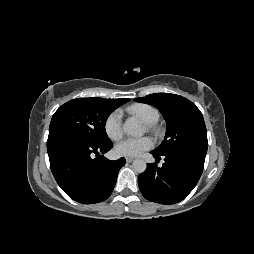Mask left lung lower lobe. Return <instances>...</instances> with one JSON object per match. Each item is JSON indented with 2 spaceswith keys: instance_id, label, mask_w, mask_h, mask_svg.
I'll return each instance as SVG.
<instances>
[{
  "instance_id": "left-lung-lower-lobe-1",
  "label": "left lung lower lobe",
  "mask_w": 254,
  "mask_h": 254,
  "mask_svg": "<svg viewBox=\"0 0 254 254\" xmlns=\"http://www.w3.org/2000/svg\"><path fill=\"white\" fill-rule=\"evenodd\" d=\"M165 163L158 167L147 164L145 172L138 176V185L143 196L160 204H175L183 200L196 186L204 168L206 152L199 149H181L166 154L151 151Z\"/></svg>"
}]
</instances>
